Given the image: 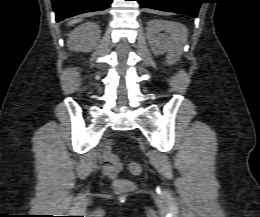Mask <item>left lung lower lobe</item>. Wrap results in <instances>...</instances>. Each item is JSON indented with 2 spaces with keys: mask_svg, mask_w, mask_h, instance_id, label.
<instances>
[{
  "mask_svg": "<svg viewBox=\"0 0 260 217\" xmlns=\"http://www.w3.org/2000/svg\"><path fill=\"white\" fill-rule=\"evenodd\" d=\"M143 8L175 12L196 17L202 0H136Z\"/></svg>",
  "mask_w": 260,
  "mask_h": 217,
  "instance_id": "left-lung-lower-lobe-1",
  "label": "left lung lower lobe"
}]
</instances>
